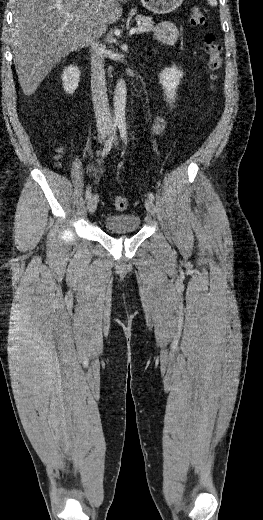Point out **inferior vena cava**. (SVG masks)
Here are the masks:
<instances>
[{
	"label": "inferior vena cava",
	"instance_id": "obj_1",
	"mask_svg": "<svg viewBox=\"0 0 263 520\" xmlns=\"http://www.w3.org/2000/svg\"><path fill=\"white\" fill-rule=\"evenodd\" d=\"M91 91L98 133L107 132L112 127L108 104L105 69L104 47L94 37L91 42Z\"/></svg>",
	"mask_w": 263,
	"mask_h": 520
}]
</instances>
